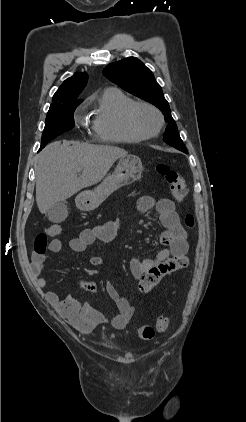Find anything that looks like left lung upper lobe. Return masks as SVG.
Returning <instances> with one entry per match:
<instances>
[{
  "mask_svg": "<svg viewBox=\"0 0 246 422\" xmlns=\"http://www.w3.org/2000/svg\"><path fill=\"white\" fill-rule=\"evenodd\" d=\"M103 74L125 91L157 106L164 114L165 121L168 122L163 141L187 153L161 86L156 82L152 72L139 59L128 57L109 64L103 70Z\"/></svg>",
  "mask_w": 246,
  "mask_h": 422,
  "instance_id": "left-lung-upper-lobe-1",
  "label": "left lung upper lobe"
}]
</instances>
